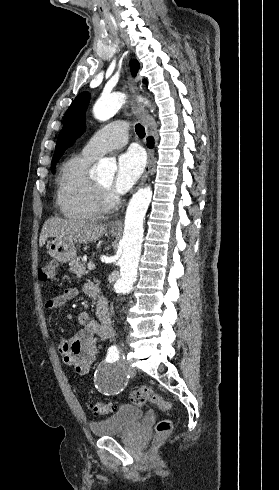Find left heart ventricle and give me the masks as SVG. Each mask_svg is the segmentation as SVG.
<instances>
[{
    "label": "left heart ventricle",
    "mask_w": 279,
    "mask_h": 490,
    "mask_svg": "<svg viewBox=\"0 0 279 490\" xmlns=\"http://www.w3.org/2000/svg\"><path fill=\"white\" fill-rule=\"evenodd\" d=\"M111 182H112V178L111 179L104 180V181H101L98 184L101 185V186H103V187H110Z\"/></svg>",
    "instance_id": "1"
}]
</instances>
